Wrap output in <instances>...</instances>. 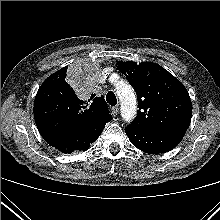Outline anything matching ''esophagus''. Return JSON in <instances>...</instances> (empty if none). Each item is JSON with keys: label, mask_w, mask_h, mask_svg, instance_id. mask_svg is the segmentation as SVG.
Returning a JSON list of instances; mask_svg holds the SVG:
<instances>
[{"label": "esophagus", "mask_w": 220, "mask_h": 220, "mask_svg": "<svg viewBox=\"0 0 220 220\" xmlns=\"http://www.w3.org/2000/svg\"><path fill=\"white\" fill-rule=\"evenodd\" d=\"M111 111H112V115H113V116H116V115H118V113H119V107H118V106H115V107H113V108L111 109Z\"/></svg>", "instance_id": "1"}]
</instances>
